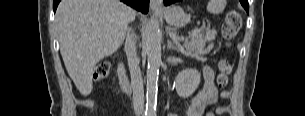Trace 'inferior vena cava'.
I'll return each mask as SVG.
<instances>
[{
    "instance_id": "obj_1",
    "label": "inferior vena cava",
    "mask_w": 305,
    "mask_h": 116,
    "mask_svg": "<svg viewBox=\"0 0 305 116\" xmlns=\"http://www.w3.org/2000/svg\"><path fill=\"white\" fill-rule=\"evenodd\" d=\"M137 36L133 32H127L125 51L128 58V65L131 75V85L133 91V107L137 116L144 112V89L139 59L137 58Z\"/></svg>"
}]
</instances>
